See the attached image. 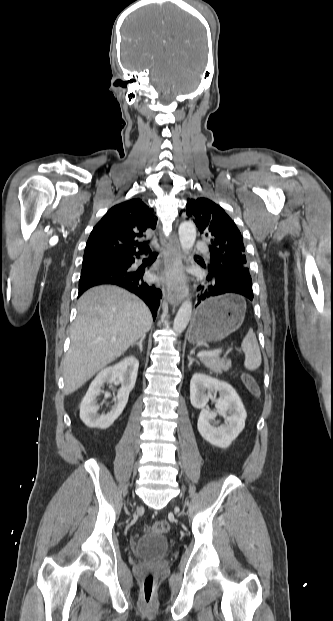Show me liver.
Instances as JSON below:
<instances>
[{"label":"liver","mask_w":333,"mask_h":621,"mask_svg":"<svg viewBox=\"0 0 333 621\" xmlns=\"http://www.w3.org/2000/svg\"><path fill=\"white\" fill-rule=\"evenodd\" d=\"M70 348L63 359L64 392L78 390L148 332L152 316L138 297L116 286H96L78 301Z\"/></svg>","instance_id":"liver-1"}]
</instances>
